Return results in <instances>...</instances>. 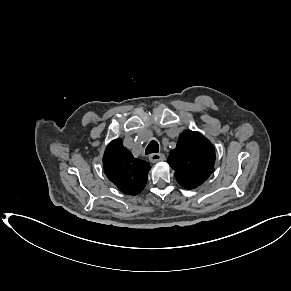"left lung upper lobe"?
<instances>
[{
    "mask_svg": "<svg viewBox=\"0 0 291 291\" xmlns=\"http://www.w3.org/2000/svg\"><path fill=\"white\" fill-rule=\"evenodd\" d=\"M168 163L175 170L178 183L186 189H194L214 170V146L199 132L186 130L170 152Z\"/></svg>",
    "mask_w": 291,
    "mask_h": 291,
    "instance_id": "1",
    "label": "left lung upper lobe"
}]
</instances>
